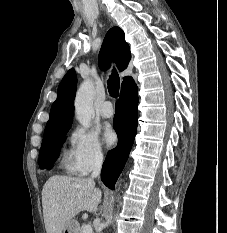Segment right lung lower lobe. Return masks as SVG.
Listing matches in <instances>:
<instances>
[{"label":"right lung lower lobe","instance_id":"right-lung-lower-lobe-1","mask_svg":"<svg viewBox=\"0 0 227 233\" xmlns=\"http://www.w3.org/2000/svg\"><path fill=\"white\" fill-rule=\"evenodd\" d=\"M137 104L136 84L121 93L116 103L114 129L118 136V144L108 152L101 171L102 182L112 190L129 157L137 132Z\"/></svg>","mask_w":227,"mask_h":233}]
</instances>
